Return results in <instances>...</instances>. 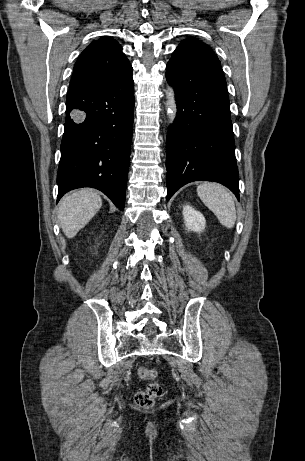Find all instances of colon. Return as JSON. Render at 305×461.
Segmentation results:
<instances>
[{
  "mask_svg": "<svg viewBox=\"0 0 305 461\" xmlns=\"http://www.w3.org/2000/svg\"><path fill=\"white\" fill-rule=\"evenodd\" d=\"M138 375L141 379L150 380L152 382L148 384L144 390L136 393L134 397L135 403L140 408H151L163 392L161 385L155 381L158 375L157 371L141 367L138 369Z\"/></svg>",
  "mask_w": 305,
  "mask_h": 461,
  "instance_id": "obj_1",
  "label": "colon"
}]
</instances>
